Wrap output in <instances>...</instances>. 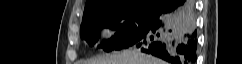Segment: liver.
I'll return each instance as SVG.
<instances>
[{
	"label": "liver",
	"instance_id": "6515ba94",
	"mask_svg": "<svg viewBox=\"0 0 242 64\" xmlns=\"http://www.w3.org/2000/svg\"><path fill=\"white\" fill-rule=\"evenodd\" d=\"M190 25L194 28V18L190 19ZM84 64H165L164 61L139 50H125L109 56L98 57L85 61Z\"/></svg>",
	"mask_w": 242,
	"mask_h": 64
}]
</instances>
